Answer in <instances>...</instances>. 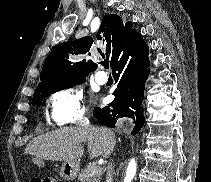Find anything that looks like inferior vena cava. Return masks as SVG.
I'll list each match as a JSON object with an SVG mask.
<instances>
[{
  "label": "inferior vena cava",
  "mask_w": 211,
  "mask_h": 182,
  "mask_svg": "<svg viewBox=\"0 0 211 182\" xmlns=\"http://www.w3.org/2000/svg\"><path fill=\"white\" fill-rule=\"evenodd\" d=\"M82 127H88L89 126V120L87 118H85L83 121H82V124H81ZM91 134H102V129H96V126H91ZM111 154V152H107L105 154L104 157H109ZM111 179H112V167L111 165H109V169H108V176H107V181L106 182H111Z\"/></svg>",
  "instance_id": "602c4592"
}]
</instances>
